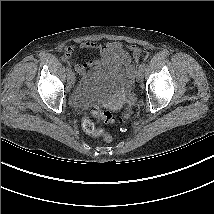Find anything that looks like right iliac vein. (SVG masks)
I'll use <instances>...</instances> for the list:
<instances>
[{"label": "right iliac vein", "instance_id": "right-iliac-vein-1", "mask_svg": "<svg viewBox=\"0 0 214 214\" xmlns=\"http://www.w3.org/2000/svg\"><path fill=\"white\" fill-rule=\"evenodd\" d=\"M68 80H69V82L71 83V84H74L75 83V75H74V73L73 72H69V74H68Z\"/></svg>", "mask_w": 214, "mask_h": 214}]
</instances>
